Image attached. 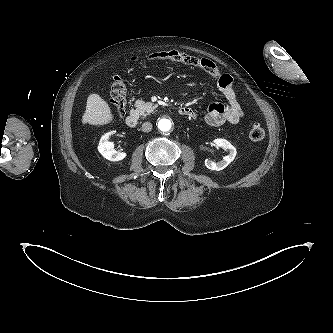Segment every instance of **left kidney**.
Listing matches in <instances>:
<instances>
[{
  "instance_id": "5707ae66",
  "label": "left kidney",
  "mask_w": 333,
  "mask_h": 333,
  "mask_svg": "<svg viewBox=\"0 0 333 333\" xmlns=\"http://www.w3.org/2000/svg\"><path fill=\"white\" fill-rule=\"evenodd\" d=\"M214 144L228 151V155L224 156L219 162H214L212 160L206 159L205 166L210 170L220 171L226 168L236 156V148L226 139L217 138L214 140Z\"/></svg>"
}]
</instances>
